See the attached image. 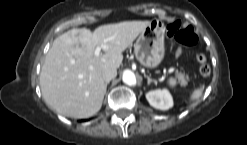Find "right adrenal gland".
<instances>
[{"mask_svg": "<svg viewBox=\"0 0 247 145\" xmlns=\"http://www.w3.org/2000/svg\"><path fill=\"white\" fill-rule=\"evenodd\" d=\"M108 84H109V82H106V83H105L106 89H107V85H108ZM105 93H106V92H105Z\"/></svg>", "mask_w": 247, "mask_h": 145, "instance_id": "1", "label": "right adrenal gland"}]
</instances>
